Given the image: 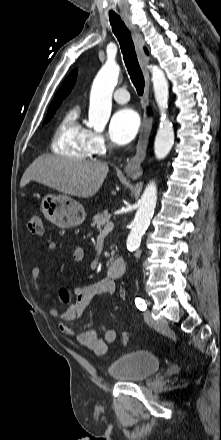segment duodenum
Here are the masks:
<instances>
[{
  "instance_id": "obj_1",
  "label": "duodenum",
  "mask_w": 221,
  "mask_h": 440,
  "mask_svg": "<svg viewBox=\"0 0 221 440\" xmlns=\"http://www.w3.org/2000/svg\"><path fill=\"white\" fill-rule=\"evenodd\" d=\"M126 263L124 259L118 257L112 260L108 266V274L111 278L117 279L125 274Z\"/></svg>"
}]
</instances>
